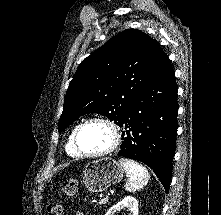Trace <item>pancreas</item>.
I'll use <instances>...</instances> for the list:
<instances>
[{
	"label": "pancreas",
	"mask_w": 221,
	"mask_h": 215,
	"mask_svg": "<svg viewBox=\"0 0 221 215\" xmlns=\"http://www.w3.org/2000/svg\"><path fill=\"white\" fill-rule=\"evenodd\" d=\"M93 202H95L97 205H104L108 202V200H104V199H102L100 201L93 200Z\"/></svg>",
	"instance_id": "pancreas-1"
}]
</instances>
